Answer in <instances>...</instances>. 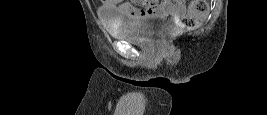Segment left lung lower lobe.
I'll return each instance as SVG.
<instances>
[{
	"label": "left lung lower lobe",
	"instance_id": "obj_1",
	"mask_svg": "<svg viewBox=\"0 0 267 115\" xmlns=\"http://www.w3.org/2000/svg\"><path fill=\"white\" fill-rule=\"evenodd\" d=\"M145 86H148V87H160L159 85H145Z\"/></svg>",
	"mask_w": 267,
	"mask_h": 115
}]
</instances>
